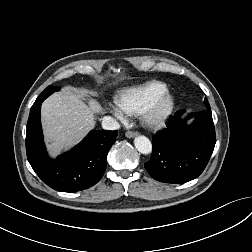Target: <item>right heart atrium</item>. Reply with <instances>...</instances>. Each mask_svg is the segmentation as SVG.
I'll list each match as a JSON object with an SVG mask.
<instances>
[{"mask_svg":"<svg viewBox=\"0 0 252 252\" xmlns=\"http://www.w3.org/2000/svg\"><path fill=\"white\" fill-rule=\"evenodd\" d=\"M114 113L119 117L122 118L123 114L118 110V109H114Z\"/></svg>","mask_w":252,"mask_h":252,"instance_id":"obj_1","label":"right heart atrium"}]
</instances>
